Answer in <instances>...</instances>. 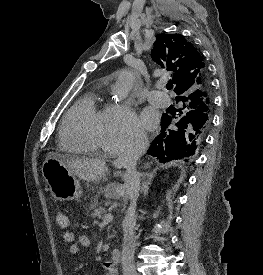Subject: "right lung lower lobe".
Segmentation results:
<instances>
[{
    "label": "right lung lower lobe",
    "mask_w": 263,
    "mask_h": 275,
    "mask_svg": "<svg viewBox=\"0 0 263 275\" xmlns=\"http://www.w3.org/2000/svg\"><path fill=\"white\" fill-rule=\"evenodd\" d=\"M204 76L208 79L207 72ZM210 83V82H209ZM205 89H199L189 95L176 97L183 106L178 110V116L163 114L161 133L153 140L148 153L165 163L173 159H182L194 155L204 140L210 125L208 117L203 112ZM174 123L173 129H166Z\"/></svg>",
    "instance_id": "obj_1"
}]
</instances>
